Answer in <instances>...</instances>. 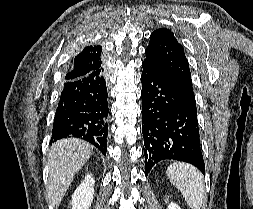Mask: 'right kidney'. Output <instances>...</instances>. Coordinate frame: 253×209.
<instances>
[{
  "label": "right kidney",
  "mask_w": 253,
  "mask_h": 209,
  "mask_svg": "<svg viewBox=\"0 0 253 209\" xmlns=\"http://www.w3.org/2000/svg\"><path fill=\"white\" fill-rule=\"evenodd\" d=\"M94 183L95 180L91 174L85 177L72 195V209H89L94 195Z\"/></svg>",
  "instance_id": "obj_1"
}]
</instances>
